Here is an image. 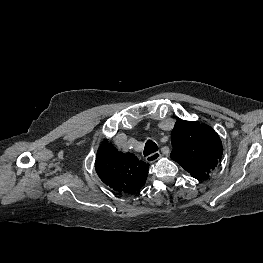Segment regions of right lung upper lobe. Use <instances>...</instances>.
I'll return each instance as SVG.
<instances>
[{
	"instance_id": "1",
	"label": "right lung upper lobe",
	"mask_w": 263,
	"mask_h": 263,
	"mask_svg": "<svg viewBox=\"0 0 263 263\" xmlns=\"http://www.w3.org/2000/svg\"><path fill=\"white\" fill-rule=\"evenodd\" d=\"M95 169L105 184L119 193L132 194L144 186L148 164L132 153H121L107 140L97 151Z\"/></svg>"
}]
</instances>
